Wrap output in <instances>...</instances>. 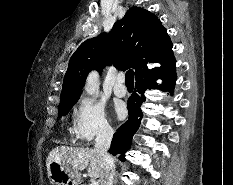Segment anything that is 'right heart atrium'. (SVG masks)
I'll return each instance as SVG.
<instances>
[{
    "mask_svg": "<svg viewBox=\"0 0 233 185\" xmlns=\"http://www.w3.org/2000/svg\"><path fill=\"white\" fill-rule=\"evenodd\" d=\"M112 132L103 105L94 98H82L74 111L72 133L76 141L89 143Z\"/></svg>",
    "mask_w": 233,
    "mask_h": 185,
    "instance_id": "obj_1",
    "label": "right heart atrium"
}]
</instances>
